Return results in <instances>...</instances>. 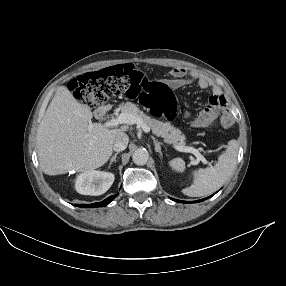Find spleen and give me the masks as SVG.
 Here are the masks:
<instances>
[{"label":"spleen","mask_w":286,"mask_h":286,"mask_svg":"<svg viewBox=\"0 0 286 286\" xmlns=\"http://www.w3.org/2000/svg\"><path fill=\"white\" fill-rule=\"evenodd\" d=\"M237 154L238 143L236 140H230L226 151L219 156L216 165L195 170L193 172V184L184 188L182 193L190 197H200L216 191L233 173L237 162ZM169 166L177 172L185 170V162L181 158L169 161Z\"/></svg>","instance_id":"3e777b00"}]
</instances>
